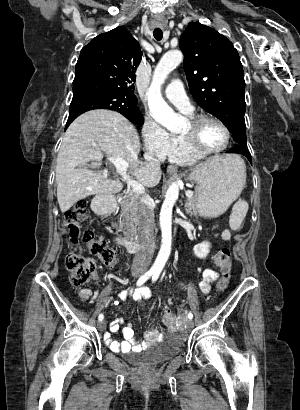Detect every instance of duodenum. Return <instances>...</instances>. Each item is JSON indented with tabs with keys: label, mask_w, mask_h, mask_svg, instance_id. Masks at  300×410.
Returning <instances> with one entry per match:
<instances>
[{
	"label": "duodenum",
	"mask_w": 300,
	"mask_h": 410,
	"mask_svg": "<svg viewBox=\"0 0 300 410\" xmlns=\"http://www.w3.org/2000/svg\"><path fill=\"white\" fill-rule=\"evenodd\" d=\"M93 210L97 216L103 217L114 211V205L109 198H98L93 203ZM116 242L119 246L132 252L138 248L134 237H119L116 239Z\"/></svg>",
	"instance_id": "duodenum-1"
}]
</instances>
